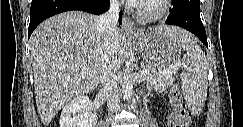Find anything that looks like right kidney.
<instances>
[{
    "mask_svg": "<svg viewBox=\"0 0 243 127\" xmlns=\"http://www.w3.org/2000/svg\"><path fill=\"white\" fill-rule=\"evenodd\" d=\"M91 101L80 95L65 104L60 116V127H95L97 115L91 112Z\"/></svg>",
    "mask_w": 243,
    "mask_h": 127,
    "instance_id": "ca27d5eb",
    "label": "right kidney"
}]
</instances>
